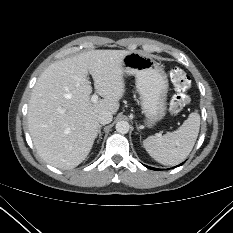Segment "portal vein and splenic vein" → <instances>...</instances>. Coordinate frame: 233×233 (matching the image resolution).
<instances>
[{
  "mask_svg": "<svg viewBox=\"0 0 233 233\" xmlns=\"http://www.w3.org/2000/svg\"><path fill=\"white\" fill-rule=\"evenodd\" d=\"M91 101L93 103L97 102L98 101V95L97 94H93L92 97H91Z\"/></svg>",
  "mask_w": 233,
  "mask_h": 233,
  "instance_id": "1",
  "label": "portal vein and splenic vein"
}]
</instances>
